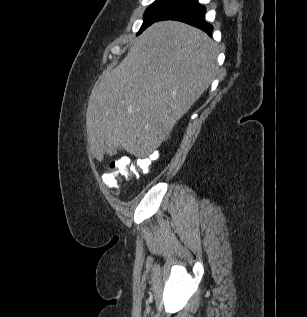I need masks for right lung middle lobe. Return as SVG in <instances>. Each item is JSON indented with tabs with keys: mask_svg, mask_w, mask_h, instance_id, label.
<instances>
[{
	"mask_svg": "<svg viewBox=\"0 0 307 317\" xmlns=\"http://www.w3.org/2000/svg\"><path fill=\"white\" fill-rule=\"evenodd\" d=\"M173 1L174 0H156L152 3L144 13V22L137 35L151 25L172 4Z\"/></svg>",
	"mask_w": 307,
	"mask_h": 317,
	"instance_id": "right-lung-middle-lobe-1",
	"label": "right lung middle lobe"
}]
</instances>
